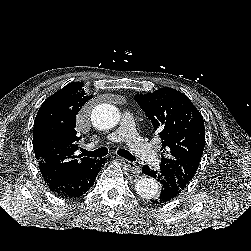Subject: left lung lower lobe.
<instances>
[{
  "label": "left lung lower lobe",
  "mask_w": 251,
  "mask_h": 251,
  "mask_svg": "<svg viewBox=\"0 0 251 251\" xmlns=\"http://www.w3.org/2000/svg\"><path fill=\"white\" fill-rule=\"evenodd\" d=\"M142 172L158 179L162 184L159 194L150 200L155 204H162L172 200L188 184L183 178L164 166H160L159 170H152L148 165H145L142 167Z\"/></svg>",
  "instance_id": "left-lung-lower-lobe-1"
}]
</instances>
